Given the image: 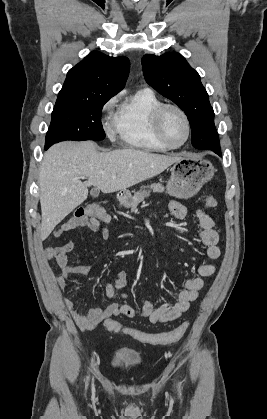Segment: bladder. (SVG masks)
<instances>
[{
	"label": "bladder",
	"instance_id": "bladder-1",
	"mask_svg": "<svg viewBox=\"0 0 267 419\" xmlns=\"http://www.w3.org/2000/svg\"><path fill=\"white\" fill-rule=\"evenodd\" d=\"M144 364L142 355L129 347L117 348L111 357L110 367L114 371L136 369Z\"/></svg>",
	"mask_w": 267,
	"mask_h": 419
}]
</instances>
